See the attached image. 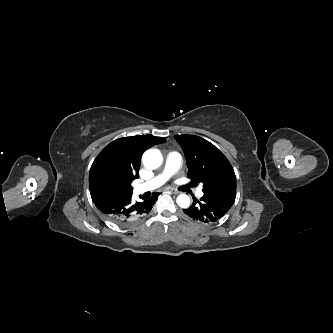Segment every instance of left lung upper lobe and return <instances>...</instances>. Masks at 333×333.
Instances as JSON below:
<instances>
[{"mask_svg":"<svg viewBox=\"0 0 333 333\" xmlns=\"http://www.w3.org/2000/svg\"><path fill=\"white\" fill-rule=\"evenodd\" d=\"M188 167L187 177L203 184L204 195L228 200L236 198V176L225 155L209 141L193 135H175Z\"/></svg>","mask_w":333,"mask_h":333,"instance_id":"left-lung-upper-lobe-1","label":"left lung upper lobe"}]
</instances>
